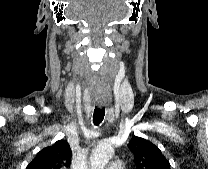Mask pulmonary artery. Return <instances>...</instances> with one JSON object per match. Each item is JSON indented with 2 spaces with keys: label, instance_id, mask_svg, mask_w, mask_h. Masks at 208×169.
<instances>
[{
  "label": "pulmonary artery",
  "instance_id": "obj_1",
  "mask_svg": "<svg viewBox=\"0 0 208 169\" xmlns=\"http://www.w3.org/2000/svg\"><path fill=\"white\" fill-rule=\"evenodd\" d=\"M108 169H125V166L121 160H113L107 166Z\"/></svg>",
  "mask_w": 208,
  "mask_h": 169
}]
</instances>
